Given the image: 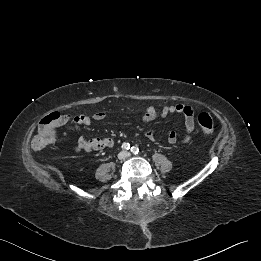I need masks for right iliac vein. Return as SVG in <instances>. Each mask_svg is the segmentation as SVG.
Wrapping results in <instances>:
<instances>
[{"instance_id": "obj_1", "label": "right iliac vein", "mask_w": 261, "mask_h": 261, "mask_svg": "<svg viewBox=\"0 0 261 261\" xmlns=\"http://www.w3.org/2000/svg\"><path fill=\"white\" fill-rule=\"evenodd\" d=\"M125 156H126V154L124 152H121V153H119L118 158L119 159H124Z\"/></svg>"}]
</instances>
